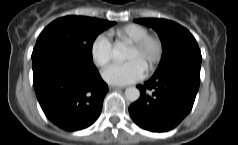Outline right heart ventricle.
<instances>
[{
	"label": "right heart ventricle",
	"instance_id": "e07e8e85",
	"mask_svg": "<svg viewBox=\"0 0 238 145\" xmlns=\"http://www.w3.org/2000/svg\"><path fill=\"white\" fill-rule=\"evenodd\" d=\"M111 34L118 40L132 44L147 35L148 29L145 26L131 23L112 31Z\"/></svg>",
	"mask_w": 238,
	"mask_h": 145
}]
</instances>
